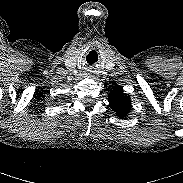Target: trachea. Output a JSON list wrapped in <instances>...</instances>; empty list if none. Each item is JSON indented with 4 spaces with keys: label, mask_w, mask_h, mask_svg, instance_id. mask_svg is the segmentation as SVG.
Here are the masks:
<instances>
[{
    "label": "trachea",
    "mask_w": 183,
    "mask_h": 183,
    "mask_svg": "<svg viewBox=\"0 0 183 183\" xmlns=\"http://www.w3.org/2000/svg\"><path fill=\"white\" fill-rule=\"evenodd\" d=\"M87 57H88V60H87ZM87 57H86V60L89 64H94L98 60V56H97L96 52L94 55H90V53H89V55Z\"/></svg>",
    "instance_id": "obj_1"
}]
</instances>
